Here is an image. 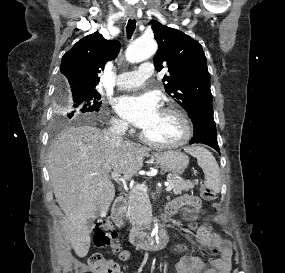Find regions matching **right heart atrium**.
<instances>
[{"instance_id": "obj_1", "label": "right heart atrium", "mask_w": 285, "mask_h": 273, "mask_svg": "<svg viewBox=\"0 0 285 273\" xmlns=\"http://www.w3.org/2000/svg\"><path fill=\"white\" fill-rule=\"evenodd\" d=\"M112 124L118 131H124L125 129H127L126 122L119 118H113Z\"/></svg>"}]
</instances>
